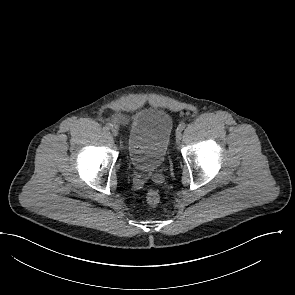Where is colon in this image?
Wrapping results in <instances>:
<instances>
[{"mask_svg": "<svg viewBox=\"0 0 295 295\" xmlns=\"http://www.w3.org/2000/svg\"><path fill=\"white\" fill-rule=\"evenodd\" d=\"M147 203L151 206H155L160 201L159 193L156 190H149L146 194Z\"/></svg>", "mask_w": 295, "mask_h": 295, "instance_id": "colon-1", "label": "colon"}]
</instances>
